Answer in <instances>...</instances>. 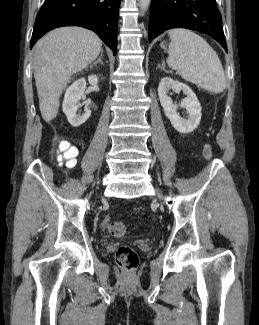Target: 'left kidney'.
Wrapping results in <instances>:
<instances>
[{
    "instance_id": "left-kidney-1",
    "label": "left kidney",
    "mask_w": 259,
    "mask_h": 325,
    "mask_svg": "<svg viewBox=\"0 0 259 325\" xmlns=\"http://www.w3.org/2000/svg\"><path fill=\"white\" fill-rule=\"evenodd\" d=\"M170 89L175 92L183 91L186 95L181 101V106L186 109L188 118H182L177 113L178 105L174 104L172 99L168 96ZM158 96L165 115L170 120L175 130L180 133H190L197 128L201 120V105L190 87L178 81H174L169 77H165L159 83Z\"/></svg>"
}]
</instances>
